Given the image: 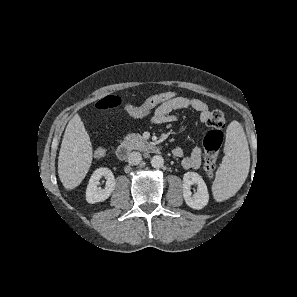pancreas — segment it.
<instances>
[{"label":"pancreas","mask_w":297,"mask_h":297,"mask_svg":"<svg viewBox=\"0 0 297 297\" xmlns=\"http://www.w3.org/2000/svg\"><path fill=\"white\" fill-rule=\"evenodd\" d=\"M145 141L141 137V135L136 134V133H130L128 134L125 138L124 141L122 142L123 145L128 147L129 149H138L142 150L145 148Z\"/></svg>","instance_id":"cf45deb5"}]
</instances>
